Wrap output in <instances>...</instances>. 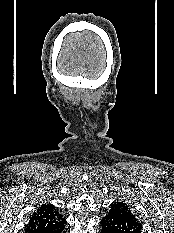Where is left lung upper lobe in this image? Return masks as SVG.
Masks as SVG:
<instances>
[{
  "label": "left lung upper lobe",
  "mask_w": 174,
  "mask_h": 233,
  "mask_svg": "<svg viewBox=\"0 0 174 233\" xmlns=\"http://www.w3.org/2000/svg\"><path fill=\"white\" fill-rule=\"evenodd\" d=\"M110 212L137 219L136 216L132 213L129 205L122 202H115L114 204H112L110 206Z\"/></svg>",
  "instance_id": "obj_1"
}]
</instances>
